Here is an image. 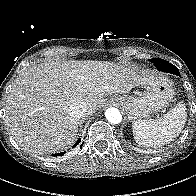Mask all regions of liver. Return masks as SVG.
Instances as JSON below:
<instances>
[{"label":"liver","mask_w":196,"mask_h":196,"mask_svg":"<svg viewBox=\"0 0 196 196\" xmlns=\"http://www.w3.org/2000/svg\"><path fill=\"white\" fill-rule=\"evenodd\" d=\"M135 67L107 61H51L28 67L7 97L5 125L25 151L55 153L77 137L79 118L72 103L87 105V115L103 106L105 96L126 94L139 81Z\"/></svg>","instance_id":"6515ba94"}]
</instances>
